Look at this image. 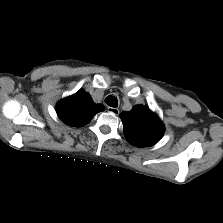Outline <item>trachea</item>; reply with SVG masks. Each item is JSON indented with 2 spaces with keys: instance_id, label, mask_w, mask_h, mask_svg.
Masks as SVG:
<instances>
[{
  "instance_id": "trachea-1",
  "label": "trachea",
  "mask_w": 223,
  "mask_h": 223,
  "mask_svg": "<svg viewBox=\"0 0 223 223\" xmlns=\"http://www.w3.org/2000/svg\"><path fill=\"white\" fill-rule=\"evenodd\" d=\"M105 102L107 105L111 107H117L118 106V100L116 97L109 95L106 97Z\"/></svg>"
}]
</instances>
